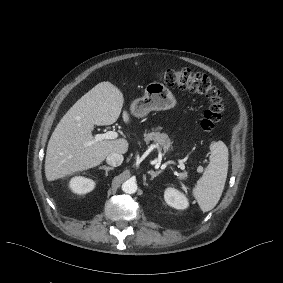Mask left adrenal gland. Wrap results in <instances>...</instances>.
<instances>
[{
	"instance_id": "a2214340",
	"label": "left adrenal gland",
	"mask_w": 283,
	"mask_h": 283,
	"mask_svg": "<svg viewBox=\"0 0 283 283\" xmlns=\"http://www.w3.org/2000/svg\"><path fill=\"white\" fill-rule=\"evenodd\" d=\"M161 172H162V170H157V171L151 170L148 173L151 175V179L153 180Z\"/></svg>"
}]
</instances>
